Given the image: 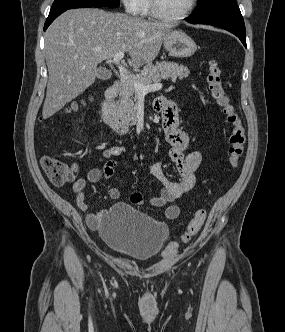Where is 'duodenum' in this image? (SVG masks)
<instances>
[{
    "label": "duodenum",
    "mask_w": 285,
    "mask_h": 332,
    "mask_svg": "<svg viewBox=\"0 0 285 332\" xmlns=\"http://www.w3.org/2000/svg\"><path fill=\"white\" fill-rule=\"evenodd\" d=\"M121 87L120 81L114 82L106 89L104 102L102 104V116L104 122L118 134H126L129 127L124 123L117 111L115 100Z\"/></svg>",
    "instance_id": "duodenum-1"
}]
</instances>
